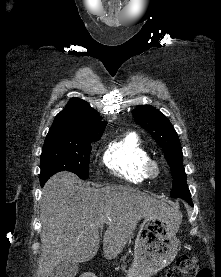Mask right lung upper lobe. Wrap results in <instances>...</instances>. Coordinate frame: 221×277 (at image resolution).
<instances>
[{"label":"right lung upper lobe","mask_w":221,"mask_h":277,"mask_svg":"<svg viewBox=\"0 0 221 277\" xmlns=\"http://www.w3.org/2000/svg\"><path fill=\"white\" fill-rule=\"evenodd\" d=\"M86 101L72 98L63 111L55 116L51 134H91L103 132L107 122Z\"/></svg>","instance_id":"cb5924a9"}]
</instances>
